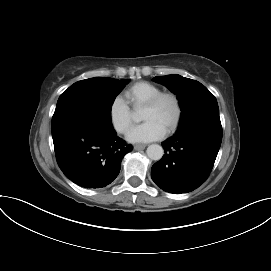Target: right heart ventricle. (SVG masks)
I'll return each instance as SVG.
<instances>
[{
	"mask_svg": "<svg viewBox=\"0 0 271 271\" xmlns=\"http://www.w3.org/2000/svg\"><path fill=\"white\" fill-rule=\"evenodd\" d=\"M159 92H161V88L157 85L147 81H140L126 89L124 98L127 104L133 108H140L147 100Z\"/></svg>",
	"mask_w": 271,
	"mask_h": 271,
	"instance_id": "right-heart-ventricle-1",
	"label": "right heart ventricle"
}]
</instances>
